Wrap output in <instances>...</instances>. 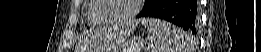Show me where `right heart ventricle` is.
Returning a JSON list of instances; mask_svg holds the SVG:
<instances>
[{"label": "right heart ventricle", "mask_w": 261, "mask_h": 52, "mask_svg": "<svg viewBox=\"0 0 261 52\" xmlns=\"http://www.w3.org/2000/svg\"><path fill=\"white\" fill-rule=\"evenodd\" d=\"M100 8V2L98 0H91L87 8V19L92 24H103L97 16V11Z\"/></svg>", "instance_id": "1"}]
</instances>
